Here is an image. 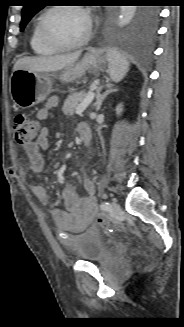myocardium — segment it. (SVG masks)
Masks as SVG:
<instances>
[{
    "instance_id": "obj_1",
    "label": "myocardium",
    "mask_w": 184,
    "mask_h": 327,
    "mask_svg": "<svg viewBox=\"0 0 184 327\" xmlns=\"http://www.w3.org/2000/svg\"><path fill=\"white\" fill-rule=\"evenodd\" d=\"M60 9H73V10L81 12L85 16V18L87 20V31L80 40L73 42V43H64V42L57 40L56 38H54L51 35V33L48 29V18L52 12L60 10ZM92 31H93V27H92V20H91L90 14L84 7H82L80 5H54V6H51L48 9H46V11L43 12V14L41 15L40 20H39V32H40L41 38L47 45H49L50 47H52L58 51L71 50V49H76V48L82 47L90 40V38L92 36Z\"/></svg>"
}]
</instances>
